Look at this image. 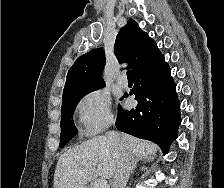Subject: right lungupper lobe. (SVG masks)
Wrapping results in <instances>:
<instances>
[{
    "label": "right lung upper lobe",
    "instance_id": "obj_1",
    "mask_svg": "<svg viewBox=\"0 0 224 188\" xmlns=\"http://www.w3.org/2000/svg\"><path fill=\"white\" fill-rule=\"evenodd\" d=\"M115 54L120 63L127 62L133 76L155 64L162 56L157 44L138 24L129 19L115 41ZM105 65L102 48L80 56L69 69L63 95L104 86L101 73Z\"/></svg>",
    "mask_w": 224,
    "mask_h": 188
}]
</instances>
